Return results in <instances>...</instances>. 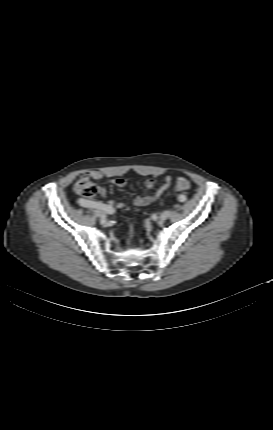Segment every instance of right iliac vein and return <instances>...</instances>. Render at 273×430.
Wrapping results in <instances>:
<instances>
[{
	"label": "right iliac vein",
	"instance_id": "1",
	"mask_svg": "<svg viewBox=\"0 0 273 430\" xmlns=\"http://www.w3.org/2000/svg\"><path fill=\"white\" fill-rule=\"evenodd\" d=\"M95 214H96V216H97V217H99L101 220H105V219H106V214H105L103 211H101V210H96V211H95Z\"/></svg>",
	"mask_w": 273,
	"mask_h": 430
}]
</instances>
